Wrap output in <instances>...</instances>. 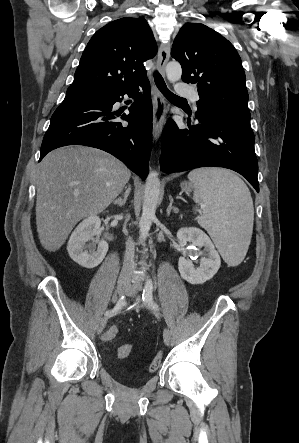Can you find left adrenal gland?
Here are the masks:
<instances>
[{
	"label": "left adrenal gland",
	"instance_id": "a2214340",
	"mask_svg": "<svg viewBox=\"0 0 299 443\" xmlns=\"http://www.w3.org/2000/svg\"><path fill=\"white\" fill-rule=\"evenodd\" d=\"M169 200H170V203H169V206L167 208V216H170L171 211H173L174 213H178V209L175 208L174 206H172L173 198L170 197Z\"/></svg>",
	"mask_w": 299,
	"mask_h": 443
}]
</instances>
